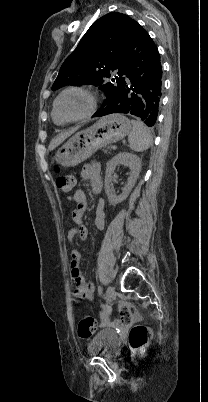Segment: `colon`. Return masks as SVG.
Listing matches in <instances>:
<instances>
[{"label":"colon","instance_id":"1","mask_svg":"<svg viewBox=\"0 0 208 402\" xmlns=\"http://www.w3.org/2000/svg\"><path fill=\"white\" fill-rule=\"evenodd\" d=\"M76 178L72 175H62L56 167L55 186L57 190L70 195L75 187ZM119 318L117 323L122 327H130V341L133 347L138 348L145 344L147 338H150L152 332L149 324H134L132 318V303L128 298L123 297L119 303ZM96 329V320L91 316H86L78 321L77 331L81 339H88Z\"/></svg>","mask_w":208,"mask_h":402}]
</instances>
